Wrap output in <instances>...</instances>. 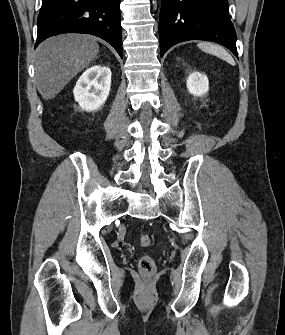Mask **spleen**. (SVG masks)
I'll return each mask as SVG.
<instances>
[{"instance_id":"3e777b00","label":"spleen","mask_w":285,"mask_h":335,"mask_svg":"<svg viewBox=\"0 0 285 335\" xmlns=\"http://www.w3.org/2000/svg\"><path fill=\"white\" fill-rule=\"evenodd\" d=\"M198 48L200 50H203V52H207V54H213V56H218V58H221V60H225V62H228V64H231V66H235V62L224 50V48H221V46H216V44H207V42H203V44H198Z\"/></svg>"}]
</instances>
